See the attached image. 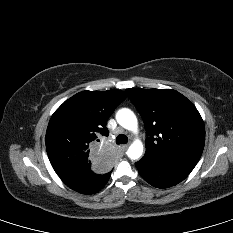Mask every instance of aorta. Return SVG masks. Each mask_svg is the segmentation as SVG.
Instances as JSON below:
<instances>
[{
	"instance_id": "aorta-1",
	"label": "aorta",
	"mask_w": 233,
	"mask_h": 233,
	"mask_svg": "<svg viewBox=\"0 0 233 233\" xmlns=\"http://www.w3.org/2000/svg\"><path fill=\"white\" fill-rule=\"evenodd\" d=\"M116 120L120 126L123 128L137 132L138 128V121L135 114L128 108H122L118 110L116 113ZM143 154V144L140 140H135L127 150V156L132 159L136 160L140 158Z\"/></svg>"
}]
</instances>
